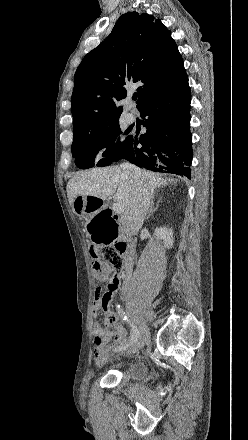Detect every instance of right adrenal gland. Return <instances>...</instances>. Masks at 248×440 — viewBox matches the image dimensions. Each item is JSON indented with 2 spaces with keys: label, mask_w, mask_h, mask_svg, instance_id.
<instances>
[{
  "label": "right adrenal gland",
  "mask_w": 248,
  "mask_h": 440,
  "mask_svg": "<svg viewBox=\"0 0 248 440\" xmlns=\"http://www.w3.org/2000/svg\"><path fill=\"white\" fill-rule=\"evenodd\" d=\"M157 208H158V204L156 205V207H154V195H152L151 202H150V208H149L148 215H147L146 219H149L151 214H153L155 212V210H157Z\"/></svg>",
  "instance_id": "1"
}]
</instances>
